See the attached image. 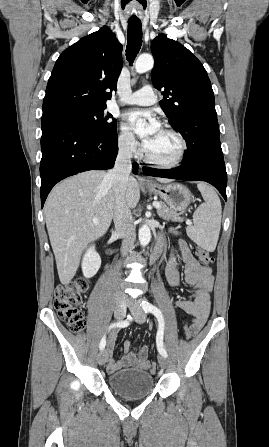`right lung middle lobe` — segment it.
Returning <instances> with one entry per match:
<instances>
[{"instance_id": "obj_1", "label": "right lung middle lobe", "mask_w": 269, "mask_h": 447, "mask_svg": "<svg viewBox=\"0 0 269 447\" xmlns=\"http://www.w3.org/2000/svg\"><path fill=\"white\" fill-rule=\"evenodd\" d=\"M105 109L106 106L79 105L60 107L53 112H64L71 115L79 120L82 126L93 131L104 134L115 133L116 120L107 121L112 118V115L110 113L104 115Z\"/></svg>"}]
</instances>
